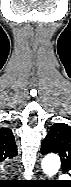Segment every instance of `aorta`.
Wrapping results in <instances>:
<instances>
[{"label":"aorta","mask_w":71,"mask_h":187,"mask_svg":"<svg viewBox=\"0 0 71 187\" xmlns=\"http://www.w3.org/2000/svg\"><path fill=\"white\" fill-rule=\"evenodd\" d=\"M60 165V158L56 154L46 155L41 162L43 172L49 177H52L58 172Z\"/></svg>","instance_id":"1"}]
</instances>
